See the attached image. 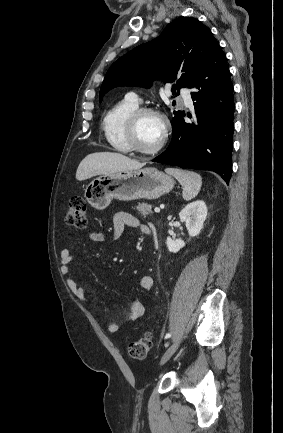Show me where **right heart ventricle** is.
Returning <instances> with one entry per match:
<instances>
[{
    "label": "right heart ventricle",
    "mask_w": 283,
    "mask_h": 433,
    "mask_svg": "<svg viewBox=\"0 0 283 433\" xmlns=\"http://www.w3.org/2000/svg\"><path fill=\"white\" fill-rule=\"evenodd\" d=\"M138 108V103L124 99L113 106L102 119V130L108 143L121 153L130 152L124 129L128 116Z\"/></svg>",
    "instance_id": "right-heart-ventricle-1"
}]
</instances>
